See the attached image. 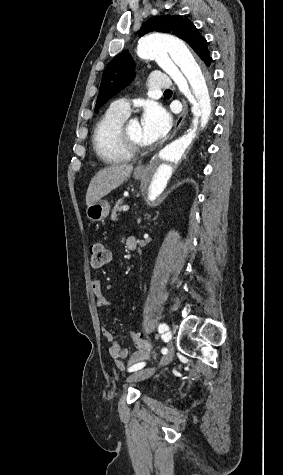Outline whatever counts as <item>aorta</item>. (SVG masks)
Returning <instances> with one entry per match:
<instances>
[{
  "instance_id": "1",
  "label": "aorta",
  "mask_w": 283,
  "mask_h": 475,
  "mask_svg": "<svg viewBox=\"0 0 283 475\" xmlns=\"http://www.w3.org/2000/svg\"><path fill=\"white\" fill-rule=\"evenodd\" d=\"M137 55L154 59L171 76L192 104L193 120L182 136L157 153L141 179L139 201L148 207L157 204L183 166L198 148L201 133L211 116V80L180 39L153 33L140 39Z\"/></svg>"
}]
</instances>
